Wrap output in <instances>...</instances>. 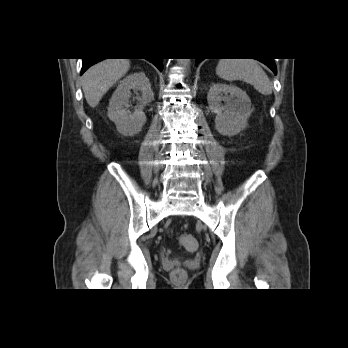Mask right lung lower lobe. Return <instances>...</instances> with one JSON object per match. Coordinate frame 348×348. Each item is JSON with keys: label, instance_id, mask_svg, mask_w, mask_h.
<instances>
[{"label": "right lung lower lobe", "instance_id": "1", "mask_svg": "<svg viewBox=\"0 0 348 348\" xmlns=\"http://www.w3.org/2000/svg\"><path fill=\"white\" fill-rule=\"evenodd\" d=\"M102 59H96V58H85L83 59V65L81 70V75L93 64L101 61ZM150 62H152L160 71H162V58L161 59H148Z\"/></svg>", "mask_w": 348, "mask_h": 348}]
</instances>
